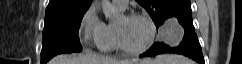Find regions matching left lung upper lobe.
<instances>
[{
	"label": "left lung upper lobe",
	"instance_id": "5c2ea615",
	"mask_svg": "<svg viewBox=\"0 0 242 64\" xmlns=\"http://www.w3.org/2000/svg\"><path fill=\"white\" fill-rule=\"evenodd\" d=\"M151 16L156 27L184 10H191L190 0H136Z\"/></svg>",
	"mask_w": 242,
	"mask_h": 64
}]
</instances>
